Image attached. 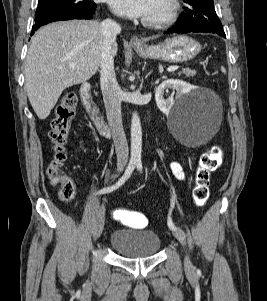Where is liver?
Masks as SVG:
<instances>
[{"label": "liver", "mask_w": 267, "mask_h": 301, "mask_svg": "<svg viewBox=\"0 0 267 301\" xmlns=\"http://www.w3.org/2000/svg\"><path fill=\"white\" fill-rule=\"evenodd\" d=\"M100 26L95 20L55 22L32 38L25 62V86L39 119L49 116L66 88L89 80L99 69L103 45ZM111 53H117L116 42Z\"/></svg>", "instance_id": "1"}]
</instances>
